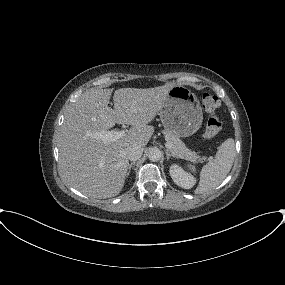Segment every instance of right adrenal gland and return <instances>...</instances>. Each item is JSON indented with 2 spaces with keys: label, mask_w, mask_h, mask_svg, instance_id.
Segmentation results:
<instances>
[{
  "label": "right adrenal gland",
  "mask_w": 285,
  "mask_h": 285,
  "mask_svg": "<svg viewBox=\"0 0 285 285\" xmlns=\"http://www.w3.org/2000/svg\"><path fill=\"white\" fill-rule=\"evenodd\" d=\"M135 164H136L135 161L129 164L126 176H129L130 170H131V168H132Z\"/></svg>",
  "instance_id": "obj_1"
}]
</instances>
